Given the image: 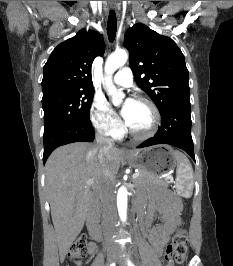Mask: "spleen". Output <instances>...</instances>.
<instances>
[{"mask_svg": "<svg viewBox=\"0 0 233 266\" xmlns=\"http://www.w3.org/2000/svg\"><path fill=\"white\" fill-rule=\"evenodd\" d=\"M177 160L176 191L177 194L186 198L191 197L193 192V169L185 155L179 151L173 152Z\"/></svg>", "mask_w": 233, "mask_h": 266, "instance_id": "obj_1", "label": "spleen"}]
</instances>
